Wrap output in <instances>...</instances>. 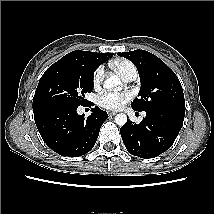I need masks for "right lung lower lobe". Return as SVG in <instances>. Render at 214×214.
<instances>
[{"label":"right lung lower lobe","mask_w":214,"mask_h":214,"mask_svg":"<svg viewBox=\"0 0 214 214\" xmlns=\"http://www.w3.org/2000/svg\"><path fill=\"white\" fill-rule=\"evenodd\" d=\"M91 102L81 105L86 106ZM78 106L55 105L34 113L39 133L56 153L76 157L88 153L96 143L107 112L98 107L92 108L87 118L77 114Z\"/></svg>","instance_id":"right-lung-lower-lobe-1"}]
</instances>
